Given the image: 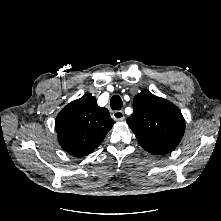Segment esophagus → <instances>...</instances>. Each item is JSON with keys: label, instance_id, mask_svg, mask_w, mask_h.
<instances>
[{"label": "esophagus", "instance_id": "obj_1", "mask_svg": "<svg viewBox=\"0 0 221 221\" xmlns=\"http://www.w3.org/2000/svg\"><path fill=\"white\" fill-rule=\"evenodd\" d=\"M112 118L115 120V121H121L125 118V114L123 111H114L113 114H112Z\"/></svg>", "mask_w": 221, "mask_h": 221}]
</instances>
